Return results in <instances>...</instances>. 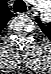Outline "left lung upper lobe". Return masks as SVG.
Returning a JSON list of instances; mask_svg holds the SVG:
<instances>
[{
	"mask_svg": "<svg viewBox=\"0 0 51 74\" xmlns=\"http://www.w3.org/2000/svg\"><path fill=\"white\" fill-rule=\"evenodd\" d=\"M36 22H37L40 26L42 25V22H41L39 19H37Z\"/></svg>",
	"mask_w": 51,
	"mask_h": 74,
	"instance_id": "left-lung-upper-lobe-1",
	"label": "left lung upper lobe"
}]
</instances>
